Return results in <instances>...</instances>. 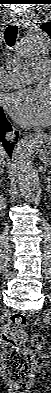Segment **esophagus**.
Instances as JSON below:
<instances>
[{
  "label": "esophagus",
  "instance_id": "esophagus-1",
  "mask_svg": "<svg viewBox=\"0 0 51 393\" xmlns=\"http://www.w3.org/2000/svg\"><path fill=\"white\" fill-rule=\"evenodd\" d=\"M13 24L19 25V23L14 19Z\"/></svg>",
  "mask_w": 51,
  "mask_h": 393
}]
</instances>
